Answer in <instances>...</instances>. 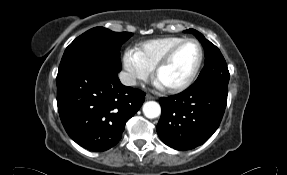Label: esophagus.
I'll use <instances>...</instances> for the list:
<instances>
[{
	"label": "esophagus",
	"instance_id": "34e87169",
	"mask_svg": "<svg viewBox=\"0 0 287 175\" xmlns=\"http://www.w3.org/2000/svg\"><path fill=\"white\" fill-rule=\"evenodd\" d=\"M145 97H146L147 100L155 99V97L153 95H151V94H146Z\"/></svg>",
	"mask_w": 287,
	"mask_h": 175
}]
</instances>
